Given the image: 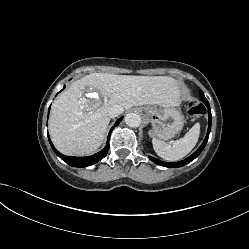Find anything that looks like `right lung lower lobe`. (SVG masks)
I'll list each match as a JSON object with an SVG mask.
<instances>
[{
	"label": "right lung lower lobe",
	"instance_id": "right-lung-lower-lobe-1",
	"mask_svg": "<svg viewBox=\"0 0 249 249\" xmlns=\"http://www.w3.org/2000/svg\"><path fill=\"white\" fill-rule=\"evenodd\" d=\"M122 119H123V117L119 118L116 121L115 125L111 128V130L109 132V135H108L107 144H106L105 148L103 150H101L100 152L92 155V156H88V157H71V156L62 155L53 146L49 135H48V139H49V142H50V145H51L53 151L56 153L57 156H59L66 163H68L69 165L74 166V167H87V166H90V165H93V164L97 163L98 161H100L101 159H103L107 155V152L109 151V137H110V134H111L112 130L114 129V127H116L121 122Z\"/></svg>",
	"mask_w": 249,
	"mask_h": 249
}]
</instances>
